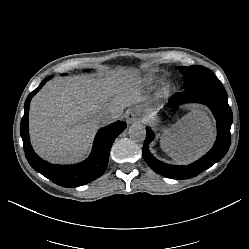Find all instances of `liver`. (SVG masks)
I'll return each instance as SVG.
<instances>
[{
	"mask_svg": "<svg viewBox=\"0 0 249 249\" xmlns=\"http://www.w3.org/2000/svg\"><path fill=\"white\" fill-rule=\"evenodd\" d=\"M133 73H114L98 80L94 76L55 78L32 100L30 133L36 151L52 162L82 158L89 148L102 114L118 119L124 108L143 102L138 98ZM144 117V123H156ZM214 140V127L206 111L193 109L161 137L174 160L190 162L203 154Z\"/></svg>",
	"mask_w": 249,
	"mask_h": 249,
	"instance_id": "6515ba94",
	"label": "liver"
}]
</instances>
